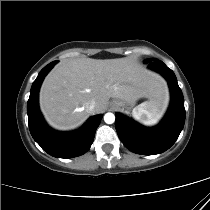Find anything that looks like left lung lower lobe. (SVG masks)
Wrapping results in <instances>:
<instances>
[{
	"label": "left lung lower lobe",
	"mask_w": 210,
	"mask_h": 210,
	"mask_svg": "<svg viewBox=\"0 0 210 210\" xmlns=\"http://www.w3.org/2000/svg\"><path fill=\"white\" fill-rule=\"evenodd\" d=\"M148 67L162 74L168 81L171 103L163 120L147 128L116 113L115 127L121 142L130 151L142 155L159 154L169 149L177 140L185 122L184 98L174 72L162 61L150 62Z\"/></svg>",
	"instance_id": "0a47b994"
}]
</instances>
